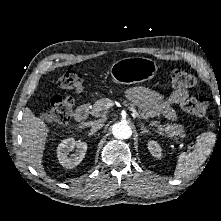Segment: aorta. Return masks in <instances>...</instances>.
<instances>
[{
	"label": "aorta",
	"mask_w": 221,
	"mask_h": 221,
	"mask_svg": "<svg viewBox=\"0 0 221 221\" xmlns=\"http://www.w3.org/2000/svg\"><path fill=\"white\" fill-rule=\"evenodd\" d=\"M112 133L117 139H128L132 136V129L125 122H118L112 126Z\"/></svg>",
	"instance_id": "obj_1"
}]
</instances>
